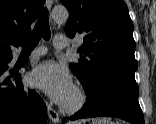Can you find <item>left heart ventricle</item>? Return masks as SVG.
I'll return each instance as SVG.
<instances>
[{"instance_id":"b2bd125f","label":"left heart ventricle","mask_w":156,"mask_h":124,"mask_svg":"<svg viewBox=\"0 0 156 124\" xmlns=\"http://www.w3.org/2000/svg\"><path fill=\"white\" fill-rule=\"evenodd\" d=\"M76 93L75 90L73 89L67 99L65 100L64 104H73L76 101Z\"/></svg>"}]
</instances>
